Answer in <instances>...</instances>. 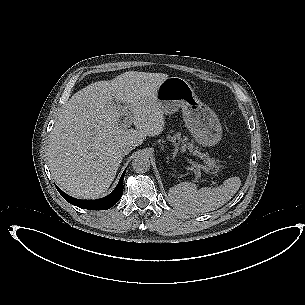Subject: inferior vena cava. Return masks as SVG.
<instances>
[{
  "mask_svg": "<svg viewBox=\"0 0 305 305\" xmlns=\"http://www.w3.org/2000/svg\"><path fill=\"white\" fill-rule=\"evenodd\" d=\"M135 148V145L133 143H123L121 145V151L123 154H128L129 152H131L133 149Z\"/></svg>",
  "mask_w": 305,
  "mask_h": 305,
  "instance_id": "602c4592",
  "label": "inferior vena cava"
}]
</instances>
